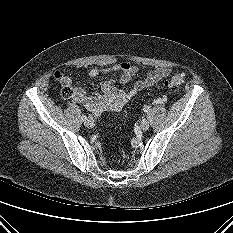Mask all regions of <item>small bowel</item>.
<instances>
[{"instance_id": "1", "label": "small bowel", "mask_w": 233, "mask_h": 233, "mask_svg": "<svg viewBox=\"0 0 233 233\" xmlns=\"http://www.w3.org/2000/svg\"><path fill=\"white\" fill-rule=\"evenodd\" d=\"M112 72L119 73V82L127 84L139 74V69L130 63H120L109 67L95 68L89 72V77L94 78ZM171 73L170 68L158 67L146 72L137 79L131 88H118L114 80L107 79L101 83V93L89 95L81 87H73L71 97L74 101L81 103L96 116L107 111H119L130 101L138 92L151 87L168 77ZM65 85L72 84L69 77L62 78Z\"/></svg>"}]
</instances>
